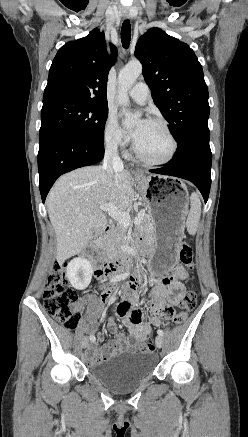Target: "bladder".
Segmentation results:
<instances>
[{
  "label": "bladder",
  "mask_w": 248,
  "mask_h": 437,
  "mask_svg": "<svg viewBox=\"0 0 248 437\" xmlns=\"http://www.w3.org/2000/svg\"><path fill=\"white\" fill-rule=\"evenodd\" d=\"M155 366L150 353L125 352L92 365L89 374L109 390L124 393L151 376Z\"/></svg>",
  "instance_id": "1"
}]
</instances>
